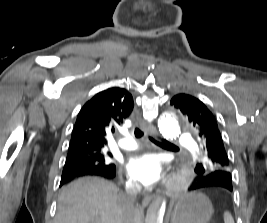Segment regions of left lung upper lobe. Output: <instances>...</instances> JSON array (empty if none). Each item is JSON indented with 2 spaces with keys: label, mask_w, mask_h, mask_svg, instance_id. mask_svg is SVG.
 I'll return each mask as SVG.
<instances>
[{
  "label": "left lung upper lobe",
  "mask_w": 267,
  "mask_h": 223,
  "mask_svg": "<svg viewBox=\"0 0 267 223\" xmlns=\"http://www.w3.org/2000/svg\"><path fill=\"white\" fill-rule=\"evenodd\" d=\"M170 105L180 110L193 127L203 147V153L194 163L196 173H230V163L215 116L197 98L177 94Z\"/></svg>",
  "instance_id": "5c2ea615"
}]
</instances>
